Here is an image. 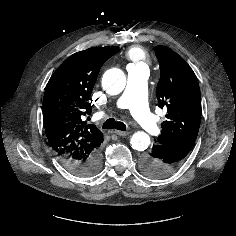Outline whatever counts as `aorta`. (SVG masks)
Here are the masks:
<instances>
[{"mask_svg":"<svg viewBox=\"0 0 236 236\" xmlns=\"http://www.w3.org/2000/svg\"><path fill=\"white\" fill-rule=\"evenodd\" d=\"M102 85L110 95L121 93L126 86V76L119 68L108 69L102 77ZM131 147L137 151H144L150 145V137L143 131L134 133L130 139Z\"/></svg>","mask_w":236,"mask_h":236,"instance_id":"762f6f07","label":"aorta"}]
</instances>
